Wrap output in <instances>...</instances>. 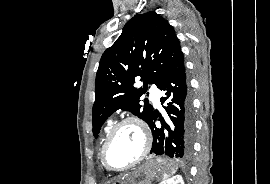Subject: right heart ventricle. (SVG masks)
Here are the masks:
<instances>
[{"label": "right heart ventricle", "instance_id": "1", "mask_svg": "<svg viewBox=\"0 0 270 184\" xmlns=\"http://www.w3.org/2000/svg\"><path fill=\"white\" fill-rule=\"evenodd\" d=\"M114 126L113 120H108L105 124L104 130H103V138H102V143H101V149L100 152H102L103 145L106 141L107 136L109 135L112 127Z\"/></svg>", "mask_w": 270, "mask_h": 184}]
</instances>
